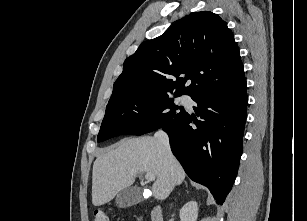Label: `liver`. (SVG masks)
Listing matches in <instances>:
<instances>
[{"mask_svg": "<svg viewBox=\"0 0 307 221\" xmlns=\"http://www.w3.org/2000/svg\"><path fill=\"white\" fill-rule=\"evenodd\" d=\"M147 172L155 175L152 192L157 200L166 199L172 182L179 185L186 176L176 158L155 137L122 140L102 152L93 164V205L110 202L121 190L134 183L137 174Z\"/></svg>", "mask_w": 307, "mask_h": 221, "instance_id": "1", "label": "liver"}]
</instances>
